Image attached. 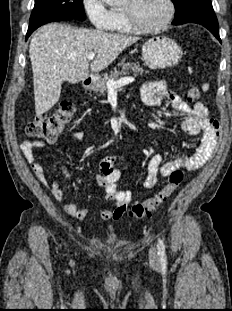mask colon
<instances>
[{"mask_svg":"<svg viewBox=\"0 0 232 311\" xmlns=\"http://www.w3.org/2000/svg\"><path fill=\"white\" fill-rule=\"evenodd\" d=\"M200 98L197 87H191L187 92V101L195 103ZM75 107L71 102H62L59 108L51 115L38 116L27 127V133L48 142L54 141L57 135L70 123ZM183 180V172L174 170L166 186L153 197L135 203L129 210L130 217L142 219L149 216L160 204L168 200Z\"/></svg>","mask_w":232,"mask_h":311,"instance_id":"5ec220e1","label":"colon"}]
</instances>
